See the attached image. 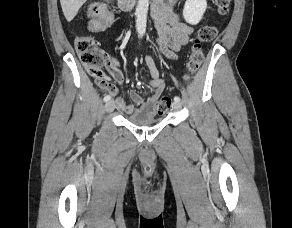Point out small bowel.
Listing matches in <instances>:
<instances>
[{"label":"small bowel","instance_id":"small-bowel-1","mask_svg":"<svg viewBox=\"0 0 292 228\" xmlns=\"http://www.w3.org/2000/svg\"><path fill=\"white\" fill-rule=\"evenodd\" d=\"M174 3L175 0H169L168 3L157 2L152 12L158 34V45L162 53L168 58H174L176 52L188 44L193 32V28L186 24L173 10L172 5ZM104 64L108 73L116 82H124V75L118 68L119 60L111 52L106 54ZM146 64L149 69V85L153 89L152 94L144 98L136 90H130V98L137 107L134 104H127L122 98L116 100L117 108L128 115L144 114L153 116L158 111L156 104L165 84L152 57H146ZM98 85L113 95L118 92L116 86L105 77L101 82H98Z\"/></svg>","mask_w":292,"mask_h":228}]
</instances>
